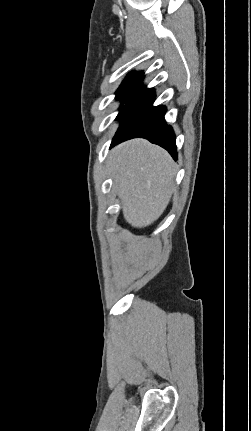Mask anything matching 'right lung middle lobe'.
Instances as JSON below:
<instances>
[{
  "mask_svg": "<svg viewBox=\"0 0 251 431\" xmlns=\"http://www.w3.org/2000/svg\"><path fill=\"white\" fill-rule=\"evenodd\" d=\"M143 77L142 72H132L130 73L126 79L122 82L121 86L116 92V98L121 100V106L123 107L124 103L127 102L131 94L134 92L139 82Z\"/></svg>",
  "mask_w": 251,
  "mask_h": 431,
  "instance_id": "right-lung-middle-lobe-1",
  "label": "right lung middle lobe"
}]
</instances>
